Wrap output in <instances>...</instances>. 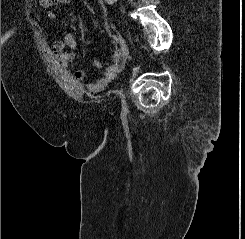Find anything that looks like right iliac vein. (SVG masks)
<instances>
[{"label":"right iliac vein","instance_id":"obj_1","mask_svg":"<svg viewBox=\"0 0 245 239\" xmlns=\"http://www.w3.org/2000/svg\"><path fill=\"white\" fill-rule=\"evenodd\" d=\"M111 27L115 29V27L111 24ZM117 32V35H118V38L120 40V43L123 47V56H124V61H123V69L125 68V65H126V60L128 58V55H129V52H128V48H127V45H126V42L124 40V38L122 37V35L120 34V32L116 31ZM123 86H121V89H120V98H121V105L123 108H125L126 106V101H125V95H124V91H123Z\"/></svg>","mask_w":245,"mask_h":239}]
</instances>
